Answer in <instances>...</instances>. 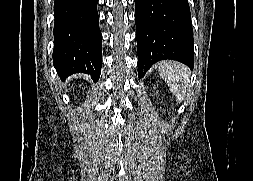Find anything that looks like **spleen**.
Here are the masks:
<instances>
[{
  "label": "spleen",
  "mask_w": 253,
  "mask_h": 181,
  "mask_svg": "<svg viewBox=\"0 0 253 181\" xmlns=\"http://www.w3.org/2000/svg\"><path fill=\"white\" fill-rule=\"evenodd\" d=\"M158 72L177 100L183 101L189 88L188 67L174 61H163L158 64Z\"/></svg>",
  "instance_id": "3e777b00"
}]
</instances>
